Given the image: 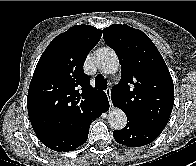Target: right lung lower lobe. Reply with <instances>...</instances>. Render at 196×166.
Instances as JSON below:
<instances>
[{
  "label": "right lung lower lobe",
  "instance_id": "obj_1",
  "mask_svg": "<svg viewBox=\"0 0 196 166\" xmlns=\"http://www.w3.org/2000/svg\"><path fill=\"white\" fill-rule=\"evenodd\" d=\"M109 109V102L106 99H101L89 110L86 119L82 125L75 129L62 131H52L37 134L38 139L48 148L59 151H73L87 141L89 127L92 121L100 117L103 112Z\"/></svg>",
  "mask_w": 196,
  "mask_h": 166
}]
</instances>
